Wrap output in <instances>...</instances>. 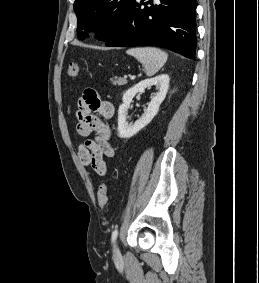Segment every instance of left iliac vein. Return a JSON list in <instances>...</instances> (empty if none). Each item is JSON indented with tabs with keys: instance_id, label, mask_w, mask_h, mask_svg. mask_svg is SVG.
I'll list each match as a JSON object with an SVG mask.
<instances>
[{
	"instance_id": "left-iliac-vein-1",
	"label": "left iliac vein",
	"mask_w": 259,
	"mask_h": 283,
	"mask_svg": "<svg viewBox=\"0 0 259 283\" xmlns=\"http://www.w3.org/2000/svg\"><path fill=\"white\" fill-rule=\"evenodd\" d=\"M113 254H114V256H119V255H120V251H119L118 243H117V242H115V244H114V247H113Z\"/></svg>"
}]
</instances>
